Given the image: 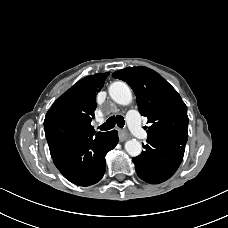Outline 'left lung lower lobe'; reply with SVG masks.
Segmentation results:
<instances>
[{
    "label": "left lung lower lobe",
    "mask_w": 228,
    "mask_h": 228,
    "mask_svg": "<svg viewBox=\"0 0 228 228\" xmlns=\"http://www.w3.org/2000/svg\"><path fill=\"white\" fill-rule=\"evenodd\" d=\"M142 153L133 158L138 176L151 184L169 179L182 162L185 144L172 138L154 136L147 138Z\"/></svg>",
    "instance_id": "1"
}]
</instances>
